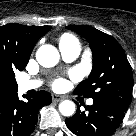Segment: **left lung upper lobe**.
I'll list each match as a JSON object with an SVG mask.
<instances>
[{
	"label": "left lung upper lobe",
	"instance_id": "obj_1",
	"mask_svg": "<svg viewBox=\"0 0 136 136\" xmlns=\"http://www.w3.org/2000/svg\"><path fill=\"white\" fill-rule=\"evenodd\" d=\"M67 28L82 35L93 53L91 74L78 85L75 93L129 105L133 89L132 68L116 39L86 25Z\"/></svg>",
	"mask_w": 136,
	"mask_h": 136
}]
</instances>
